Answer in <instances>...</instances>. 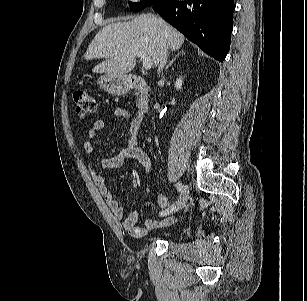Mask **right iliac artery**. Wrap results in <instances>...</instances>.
I'll return each mask as SVG.
<instances>
[{"label":"right iliac artery","mask_w":307,"mask_h":301,"mask_svg":"<svg viewBox=\"0 0 307 301\" xmlns=\"http://www.w3.org/2000/svg\"><path fill=\"white\" fill-rule=\"evenodd\" d=\"M175 187H176L178 192H181L183 190V185L180 182L176 183ZM173 209H174V205H172L171 207H169V208L165 209L164 211H162L160 213V215L161 216H165V215L171 213L173 211Z\"/></svg>","instance_id":"right-iliac-artery-1"}]
</instances>
